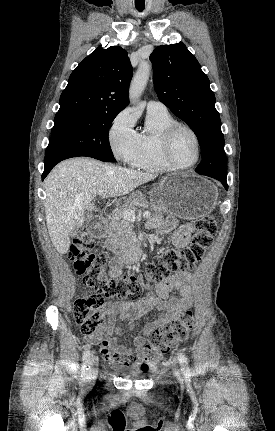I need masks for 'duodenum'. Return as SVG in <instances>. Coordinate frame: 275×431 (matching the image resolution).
<instances>
[{
	"label": "duodenum",
	"instance_id": "410a0bca",
	"mask_svg": "<svg viewBox=\"0 0 275 431\" xmlns=\"http://www.w3.org/2000/svg\"><path fill=\"white\" fill-rule=\"evenodd\" d=\"M105 225V219L99 218L97 224L93 228V234L96 237H100L103 234ZM141 255V244L137 240L128 241L116 252L118 260L126 264H132L137 262L141 258Z\"/></svg>",
	"mask_w": 275,
	"mask_h": 431
}]
</instances>
